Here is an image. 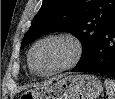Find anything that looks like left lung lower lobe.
Instances as JSON below:
<instances>
[{"mask_svg":"<svg viewBox=\"0 0 115 99\" xmlns=\"http://www.w3.org/2000/svg\"><path fill=\"white\" fill-rule=\"evenodd\" d=\"M72 72H97L115 78V19L94 49Z\"/></svg>","mask_w":115,"mask_h":99,"instance_id":"1","label":"left lung lower lobe"}]
</instances>
